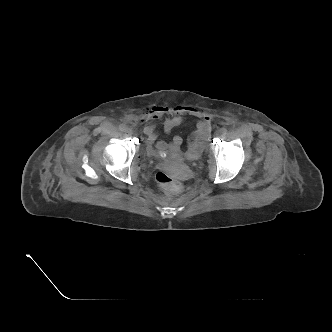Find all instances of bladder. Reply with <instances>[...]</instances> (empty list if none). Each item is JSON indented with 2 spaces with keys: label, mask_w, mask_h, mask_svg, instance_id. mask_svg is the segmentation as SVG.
<instances>
[{
  "label": "bladder",
  "mask_w": 332,
  "mask_h": 332,
  "mask_svg": "<svg viewBox=\"0 0 332 332\" xmlns=\"http://www.w3.org/2000/svg\"><path fill=\"white\" fill-rule=\"evenodd\" d=\"M203 153V148L201 149H192L190 145L187 147L185 151V158L189 161H195L198 160Z\"/></svg>",
  "instance_id": "1"
}]
</instances>
